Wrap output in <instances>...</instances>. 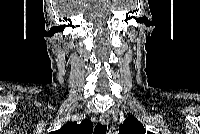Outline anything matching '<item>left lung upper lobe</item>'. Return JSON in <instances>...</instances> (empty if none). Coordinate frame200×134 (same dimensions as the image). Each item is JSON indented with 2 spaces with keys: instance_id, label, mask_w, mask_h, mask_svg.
I'll use <instances>...</instances> for the list:
<instances>
[{
  "instance_id": "5c2ea615",
  "label": "left lung upper lobe",
  "mask_w": 200,
  "mask_h": 134,
  "mask_svg": "<svg viewBox=\"0 0 200 134\" xmlns=\"http://www.w3.org/2000/svg\"><path fill=\"white\" fill-rule=\"evenodd\" d=\"M120 134H146V130L136 118L129 116L120 127ZM147 134L153 133L148 131Z\"/></svg>"
}]
</instances>
